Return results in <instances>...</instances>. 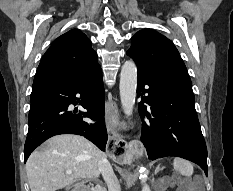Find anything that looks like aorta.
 <instances>
[{
  "label": "aorta",
  "instance_id": "762f6f07",
  "mask_svg": "<svg viewBox=\"0 0 233 191\" xmlns=\"http://www.w3.org/2000/svg\"><path fill=\"white\" fill-rule=\"evenodd\" d=\"M137 88V67L131 60L126 61L121 69L120 74V99L124 113L131 116L135 104ZM141 180H146L145 168L140 167L139 170ZM142 191H151L147 183L142 186Z\"/></svg>",
  "mask_w": 233,
  "mask_h": 191
}]
</instances>
